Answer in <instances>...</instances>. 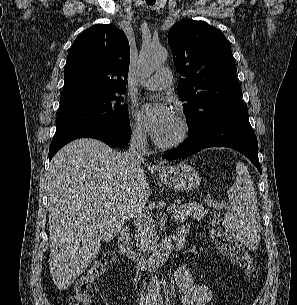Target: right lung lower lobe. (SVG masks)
<instances>
[{
  "instance_id": "1",
  "label": "right lung lower lobe",
  "mask_w": 297,
  "mask_h": 305,
  "mask_svg": "<svg viewBox=\"0 0 297 305\" xmlns=\"http://www.w3.org/2000/svg\"><path fill=\"white\" fill-rule=\"evenodd\" d=\"M130 135L131 130L128 126L103 125L82 129L71 134L57 145H51L49 148V160H51L55 153L64 145L77 138H95L105 142L110 147L115 148L126 145L129 142Z\"/></svg>"
}]
</instances>
